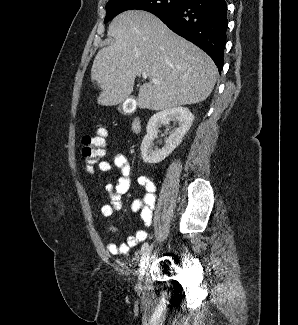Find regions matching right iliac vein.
Masks as SVG:
<instances>
[{
	"label": "right iliac vein",
	"mask_w": 298,
	"mask_h": 325,
	"mask_svg": "<svg viewBox=\"0 0 298 325\" xmlns=\"http://www.w3.org/2000/svg\"><path fill=\"white\" fill-rule=\"evenodd\" d=\"M152 248L153 245L150 246L142 255L140 264H139V269H138V279H137V284H136V289L140 291L141 289V281L143 279V276L145 274V271L148 267L149 261H150V256L152 253Z\"/></svg>",
	"instance_id": "1"
}]
</instances>
